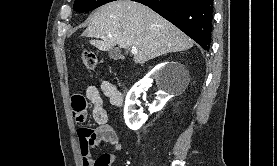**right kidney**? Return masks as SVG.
I'll return each mask as SVG.
<instances>
[{
    "label": "right kidney",
    "mask_w": 277,
    "mask_h": 166,
    "mask_svg": "<svg viewBox=\"0 0 277 166\" xmlns=\"http://www.w3.org/2000/svg\"><path fill=\"white\" fill-rule=\"evenodd\" d=\"M168 65H159L152 69L142 80L136 83L127 93L124 107V119L126 125L132 130H138L147 120V115L143 113V109H136V105H140L138 97L144 88L150 86L154 78H158L165 74ZM172 85L171 79H166L163 83V88ZM171 98L169 93L159 91L156 100L151 105L150 113L160 111L167 101Z\"/></svg>",
    "instance_id": "obj_1"
}]
</instances>
